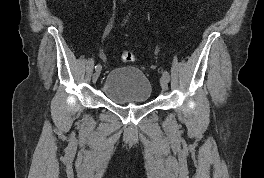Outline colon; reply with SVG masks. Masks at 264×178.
<instances>
[{
	"mask_svg": "<svg viewBox=\"0 0 264 178\" xmlns=\"http://www.w3.org/2000/svg\"><path fill=\"white\" fill-rule=\"evenodd\" d=\"M135 60V55L130 51H125L121 54V61L124 63H132Z\"/></svg>",
	"mask_w": 264,
	"mask_h": 178,
	"instance_id": "obj_1",
	"label": "colon"
}]
</instances>
